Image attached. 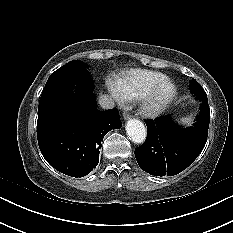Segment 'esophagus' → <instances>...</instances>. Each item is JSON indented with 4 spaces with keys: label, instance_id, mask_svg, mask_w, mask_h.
<instances>
[{
    "label": "esophagus",
    "instance_id": "obj_1",
    "mask_svg": "<svg viewBox=\"0 0 233 233\" xmlns=\"http://www.w3.org/2000/svg\"><path fill=\"white\" fill-rule=\"evenodd\" d=\"M130 117H131V114H130V113H128V112H124V113H123V118H124V120L130 119Z\"/></svg>",
    "mask_w": 233,
    "mask_h": 233
}]
</instances>
